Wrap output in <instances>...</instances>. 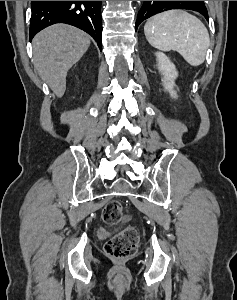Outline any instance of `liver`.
<instances>
[{"label": "liver", "mask_w": 237, "mask_h": 300, "mask_svg": "<svg viewBox=\"0 0 237 300\" xmlns=\"http://www.w3.org/2000/svg\"><path fill=\"white\" fill-rule=\"evenodd\" d=\"M32 45L35 71L61 99L66 91L67 71L86 53L89 35L70 25H52L38 33Z\"/></svg>", "instance_id": "1"}]
</instances>
